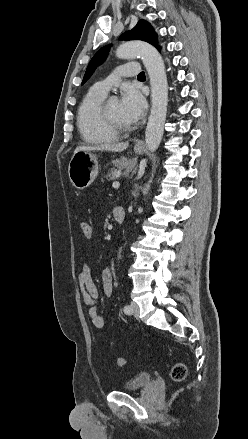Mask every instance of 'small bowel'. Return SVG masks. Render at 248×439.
Returning <instances> with one entry per match:
<instances>
[{
  "instance_id": "small-bowel-1",
  "label": "small bowel",
  "mask_w": 248,
  "mask_h": 439,
  "mask_svg": "<svg viewBox=\"0 0 248 439\" xmlns=\"http://www.w3.org/2000/svg\"><path fill=\"white\" fill-rule=\"evenodd\" d=\"M103 290L107 297L113 295L112 287V271L110 267H106L101 272ZM78 282L83 300L89 306V316L94 327L103 328L105 326V318L98 312L97 298L99 295L98 288L92 278V270L89 264H84L78 275Z\"/></svg>"
}]
</instances>
